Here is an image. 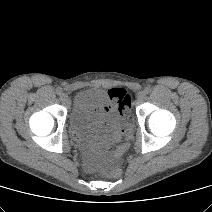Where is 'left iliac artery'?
<instances>
[{"mask_svg": "<svg viewBox=\"0 0 212 212\" xmlns=\"http://www.w3.org/2000/svg\"><path fill=\"white\" fill-rule=\"evenodd\" d=\"M144 91H145L146 94H149L151 92V88L150 87H146L144 89Z\"/></svg>", "mask_w": 212, "mask_h": 212, "instance_id": "obj_1", "label": "left iliac artery"}]
</instances>
